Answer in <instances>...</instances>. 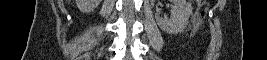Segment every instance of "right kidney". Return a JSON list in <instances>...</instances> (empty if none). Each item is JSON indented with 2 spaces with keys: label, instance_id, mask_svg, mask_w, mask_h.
I'll return each mask as SVG.
<instances>
[{
  "label": "right kidney",
  "instance_id": "right-kidney-1",
  "mask_svg": "<svg viewBox=\"0 0 267 60\" xmlns=\"http://www.w3.org/2000/svg\"><path fill=\"white\" fill-rule=\"evenodd\" d=\"M101 2V0H76L78 9L83 13H90Z\"/></svg>",
  "mask_w": 267,
  "mask_h": 60
}]
</instances>
